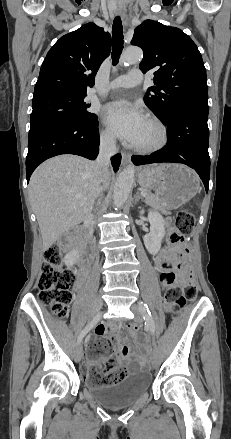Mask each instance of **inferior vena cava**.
<instances>
[{"instance_id": "1", "label": "inferior vena cava", "mask_w": 231, "mask_h": 439, "mask_svg": "<svg viewBox=\"0 0 231 439\" xmlns=\"http://www.w3.org/2000/svg\"><path fill=\"white\" fill-rule=\"evenodd\" d=\"M117 153L116 142L113 137L106 135L101 138L99 154L95 161V167L99 172L100 181L102 183L101 191L108 186L110 177V158Z\"/></svg>"}]
</instances>
